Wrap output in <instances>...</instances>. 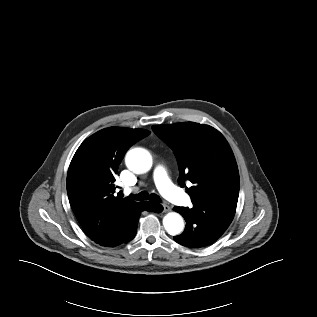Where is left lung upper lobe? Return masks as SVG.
Listing matches in <instances>:
<instances>
[{
	"mask_svg": "<svg viewBox=\"0 0 317 317\" xmlns=\"http://www.w3.org/2000/svg\"><path fill=\"white\" fill-rule=\"evenodd\" d=\"M176 155L178 183L189 192L193 205L208 204L236 210L239 173L233 152L224 136L211 126L194 122L152 126Z\"/></svg>",
	"mask_w": 317,
	"mask_h": 317,
	"instance_id": "left-lung-upper-lobe-1",
	"label": "left lung upper lobe"
}]
</instances>
